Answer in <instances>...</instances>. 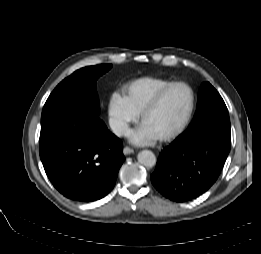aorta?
<instances>
[{
	"label": "aorta",
	"mask_w": 261,
	"mask_h": 254,
	"mask_svg": "<svg viewBox=\"0 0 261 254\" xmlns=\"http://www.w3.org/2000/svg\"><path fill=\"white\" fill-rule=\"evenodd\" d=\"M138 162L145 167H153L156 164V157L153 152L143 150L138 153Z\"/></svg>",
	"instance_id": "obj_1"
}]
</instances>
